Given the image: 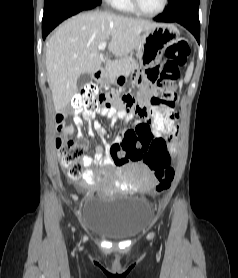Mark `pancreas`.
I'll use <instances>...</instances> for the list:
<instances>
[{"label":"pancreas","mask_w":238,"mask_h":278,"mask_svg":"<svg viewBox=\"0 0 238 278\" xmlns=\"http://www.w3.org/2000/svg\"><path fill=\"white\" fill-rule=\"evenodd\" d=\"M136 66L137 63L132 56L123 57L109 63L107 66V72L110 81L113 83L117 77L121 75H129Z\"/></svg>","instance_id":"obj_1"}]
</instances>
